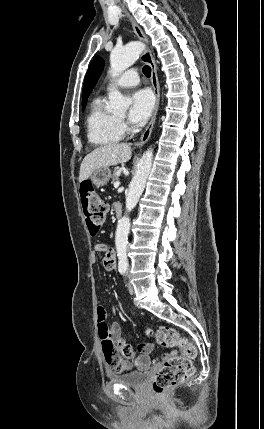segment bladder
<instances>
[{
  "label": "bladder",
  "mask_w": 264,
  "mask_h": 429,
  "mask_svg": "<svg viewBox=\"0 0 264 429\" xmlns=\"http://www.w3.org/2000/svg\"><path fill=\"white\" fill-rule=\"evenodd\" d=\"M109 380L132 388H140L151 376L150 370L137 371L128 374L108 373Z\"/></svg>",
  "instance_id": "obj_1"
}]
</instances>
